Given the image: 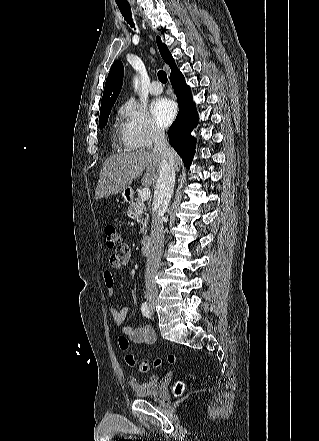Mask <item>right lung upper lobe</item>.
<instances>
[{
    "instance_id": "1",
    "label": "right lung upper lobe",
    "mask_w": 319,
    "mask_h": 441,
    "mask_svg": "<svg viewBox=\"0 0 319 441\" xmlns=\"http://www.w3.org/2000/svg\"><path fill=\"white\" fill-rule=\"evenodd\" d=\"M156 42L163 60L171 68V72L176 70V64L171 56L167 46L161 42L160 37L156 38ZM124 67L121 61L113 63L109 75L107 77L104 93L102 97L101 109L112 107L121 91L123 84ZM100 109V110H101Z\"/></svg>"
}]
</instances>
